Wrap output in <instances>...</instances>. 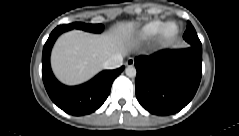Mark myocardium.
<instances>
[{
    "mask_svg": "<svg viewBox=\"0 0 239 136\" xmlns=\"http://www.w3.org/2000/svg\"><path fill=\"white\" fill-rule=\"evenodd\" d=\"M172 26H175V25L173 23H168L162 27V29L159 33V37L161 40L166 41L168 38L172 37L173 35H175L177 33V29H176L175 32L173 33V35H171V36L167 35V30Z\"/></svg>",
    "mask_w": 239,
    "mask_h": 136,
    "instance_id": "myocardium-1",
    "label": "myocardium"
}]
</instances>
